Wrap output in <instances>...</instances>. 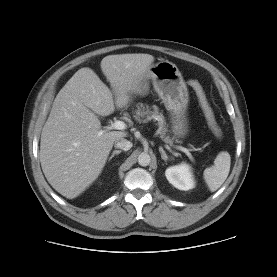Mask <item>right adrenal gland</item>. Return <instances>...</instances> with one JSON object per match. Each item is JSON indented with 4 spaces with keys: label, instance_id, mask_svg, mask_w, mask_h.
I'll use <instances>...</instances> for the list:
<instances>
[{
    "label": "right adrenal gland",
    "instance_id": "2a0ac1e0",
    "mask_svg": "<svg viewBox=\"0 0 277 277\" xmlns=\"http://www.w3.org/2000/svg\"><path fill=\"white\" fill-rule=\"evenodd\" d=\"M120 153H121V150H114L108 160L110 161L115 155H119Z\"/></svg>",
    "mask_w": 277,
    "mask_h": 277
}]
</instances>
